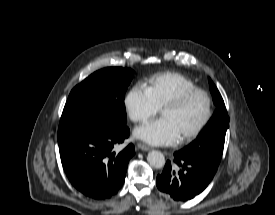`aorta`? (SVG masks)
I'll return each instance as SVG.
<instances>
[{
    "mask_svg": "<svg viewBox=\"0 0 275 215\" xmlns=\"http://www.w3.org/2000/svg\"><path fill=\"white\" fill-rule=\"evenodd\" d=\"M147 160L152 167L157 169H160L165 165V157L160 151L153 150L149 152Z\"/></svg>",
    "mask_w": 275,
    "mask_h": 215,
    "instance_id": "obj_1",
    "label": "aorta"
}]
</instances>
